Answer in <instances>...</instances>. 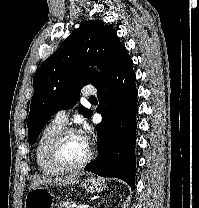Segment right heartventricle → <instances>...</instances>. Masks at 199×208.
I'll list each match as a JSON object with an SVG mask.
<instances>
[{
	"label": "right heart ventricle",
	"instance_id": "obj_1",
	"mask_svg": "<svg viewBox=\"0 0 199 208\" xmlns=\"http://www.w3.org/2000/svg\"><path fill=\"white\" fill-rule=\"evenodd\" d=\"M64 128L63 124L51 121L41 132L36 149L35 158L40 171L45 175H56L61 171L55 168L48 157V149L55 135Z\"/></svg>",
	"mask_w": 199,
	"mask_h": 208
}]
</instances>
